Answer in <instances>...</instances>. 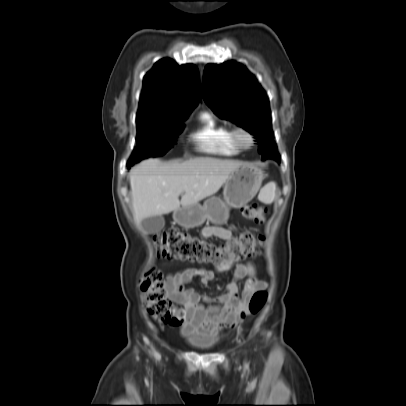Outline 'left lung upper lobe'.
<instances>
[{
    "label": "left lung upper lobe",
    "instance_id": "5c2ea615",
    "mask_svg": "<svg viewBox=\"0 0 406 406\" xmlns=\"http://www.w3.org/2000/svg\"><path fill=\"white\" fill-rule=\"evenodd\" d=\"M202 95L219 117L234 121L255 135L263 159L280 160L271 131L268 98L242 64H208L203 73Z\"/></svg>",
    "mask_w": 406,
    "mask_h": 406
}]
</instances>
